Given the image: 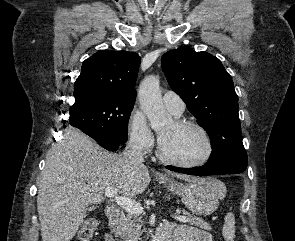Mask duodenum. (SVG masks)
<instances>
[{"instance_id":"duodenum-1","label":"duodenum","mask_w":295,"mask_h":241,"mask_svg":"<svg viewBox=\"0 0 295 241\" xmlns=\"http://www.w3.org/2000/svg\"><path fill=\"white\" fill-rule=\"evenodd\" d=\"M119 209L114 205H109L106 208V215L111 220H117L119 218ZM154 241H171L170 236L159 233Z\"/></svg>"}]
</instances>
